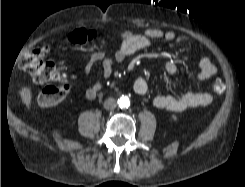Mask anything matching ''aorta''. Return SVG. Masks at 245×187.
Segmentation results:
<instances>
[{
	"label": "aorta",
	"instance_id": "1",
	"mask_svg": "<svg viewBox=\"0 0 245 187\" xmlns=\"http://www.w3.org/2000/svg\"><path fill=\"white\" fill-rule=\"evenodd\" d=\"M118 105L120 108H128L130 106V100L127 96H122L118 99Z\"/></svg>",
	"mask_w": 245,
	"mask_h": 187
}]
</instances>
